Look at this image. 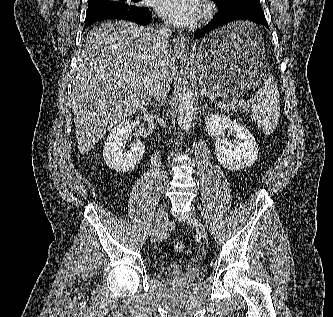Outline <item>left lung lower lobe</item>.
<instances>
[{
    "instance_id": "left-lung-lower-lobe-1",
    "label": "left lung lower lobe",
    "mask_w": 333,
    "mask_h": 317,
    "mask_svg": "<svg viewBox=\"0 0 333 317\" xmlns=\"http://www.w3.org/2000/svg\"><path fill=\"white\" fill-rule=\"evenodd\" d=\"M239 20L253 21L269 29L261 5H251L226 10L218 9V12L215 14L213 19L204 27L198 29L195 32V36L199 39L217 28Z\"/></svg>"
}]
</instances>
